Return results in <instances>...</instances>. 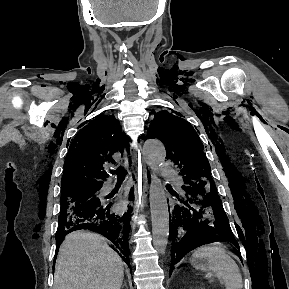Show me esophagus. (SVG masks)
Segmentation results:
<instances>
[{
    "mask_svg": "<svg viewBox=\"0 0 289 289\" xmlns=\"http://www.w3.org/2000/svg\"><path fill=\"white\" fill-rule=\"evenodd\" d=\"M133 153L137 155L138 157V173L141 177L140 179H137L136 174L134 172V179H133V185L135 186L134 191V198L137 201L139 199L138 194L136 193V188H139L143 184V192H142V198H147V189L149 185V170L147 168V165L145 164L144 160L141 159L140 151L136 147L133 148ZM134 161V160H133Z\"/></svg>",
    "mask_w": 289,
    "mask_h": 289,
    "instance_id": "34e87169",
    "label": "esophagus"
}]
</instances>
